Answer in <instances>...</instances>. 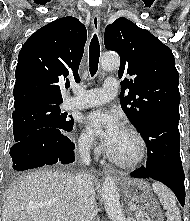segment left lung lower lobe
I'll return each instance as SVG.
<instances>
[{
    "mask_svg": "<svg viewBox=\"0 0 190 221\" xmlns=\"http://www.w3.org/2000/svg\"><path fill=\"white\" fill-rule=\"evenodd\" d=\"M177 119L157 117L139 131L147 145L146 166L131 172L135 178L151 177L168 186L182 206L185 204L184 171L180 158Z\"/></svg>",
    "mask_w": 190,
    "mask_h": 221,
    "instance_id": "left-lung-lower-lobe-1",
    "label": "left lung lower lobe"
}]
</instances>
